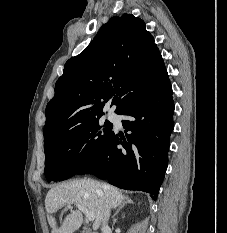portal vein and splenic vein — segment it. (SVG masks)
Returning a JSON list of instances; mask_svg holds the SVG:
<instances>
[{"label": "portal vein and splenic vein", "instance_id": "portal-vein-and-splenic-vein-1", "mask_svg": "<svg viewBox=\"0 0 227 233\" xmlns=\"http://www.w3.org/2000/svg\"><path fill=\"white\" fill-rule=\"evenodd\" d=\"M68 208H71V205L68 204L67 205ZM76 207L85 214L86 218L89 220V221H93L95 219V215L93 212L89 211L86 207H84L83 205H80V204H76Z\"/></svg>", "mask_w": 227, "mask_h": 233}]
</instances>
